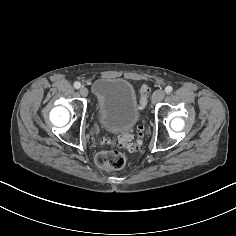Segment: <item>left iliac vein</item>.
<instances>
[{"mask_svg":"<svg viewBox=\"0 0 236 236\" xmlns=\"http://www.w3.org/2000/svg\"><path fill=\"white\" fill-rule=\"evenodd\" d=\"M165 97V92L163 90H156L154 93H153V96H152V102L155 104V103H158L160 101H162Z\"/></svg>","mask_w":236,"mask_h":236,"instance_id":"4c4485c4","label":"left iliac vein"}]
</instances>
